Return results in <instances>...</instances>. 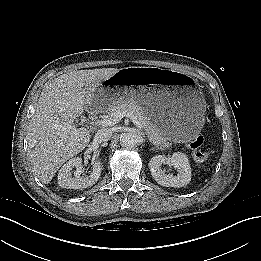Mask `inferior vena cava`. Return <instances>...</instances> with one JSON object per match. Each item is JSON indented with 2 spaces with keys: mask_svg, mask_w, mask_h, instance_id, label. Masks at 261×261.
Listing matches in <instances>:
<instances>
[{
  "mask_svg": "<svg viewBox=\"0 0 261 261\" xmlns=\"http://www.w3.org/2000/svg\"><path fill=\"white\" fill-rule=\"evenodd\" d=\"M112 136V130L109 128H102L100 130L97 131V133L95 134V139L98 142H106L108 141Z\"/></svg>",
  "mask_w": 261,
  "mask_h": 261,
  "instance_id": "obj_1",
  "label": "inferior vena cava"
}]
</instances>
